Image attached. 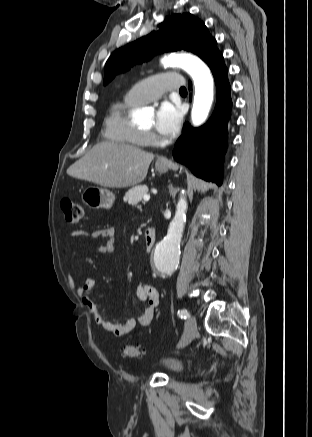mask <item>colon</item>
I'll list each match as a JSON object with an SVG mask.
<instances>
[{
    "instance_id": "obj_1",
    "label": "colon",
    "mask_w": 312,
    "mask_h": 437,
    "mask_svg": "<svg viewBox=\"0 0 312 437\" xmlns=\"http://www.w3.org/2000/svg\"><path fill=\"white\" fill-rule=\"evenodd\" d=\"M61 208L66 221L70 224H77L83 217L82 206L73 200H62ZM123 353L126 357H138L142 354V351L136 345L127 344L124 346Z\"/></svg>"
}]
</instances>
